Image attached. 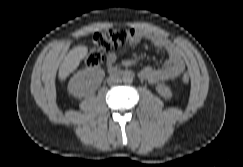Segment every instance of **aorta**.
I'll use <instances>...</instances> for the list:
<instances>
[{
	"mask_svg": "<svg viewBox=\"0 0 243 167\" xmlns=\"http://www.w3.org/2000/svg\"><path fill=\"white\" fill-rule=\"evenodd\" d=\"M122 80H123V82L124 83H132V81H133V75L132 74H130V73H125L124 75H123V77H122Z\"/></svg>",
	"mask_w": 243,
	"mask_h": 167,
	"instance_id": "obj_1",
	"label": "aorta"
}]
</instances>
